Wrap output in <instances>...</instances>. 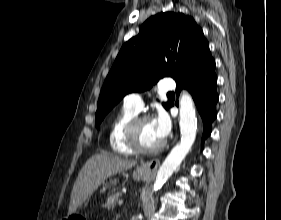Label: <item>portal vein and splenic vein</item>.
Segmentation results:
<instances>
[{
	"label": "portal vein and splenic vein",
	"mask_w": 281,
	"mask_h": 220,
	"mask_svg": "<svg viewBox=\"0 0 281 220\" xmlns=\"http://www.w3.org/2000/svg\"><path fill=\"white\" fill-rule=\"evenodd\" d=\"M123 202H124L123 199H120V200L118 201V205H119V206H122V205H123Z\"/></svg>",
	"instance_id": "portal-vein-and-splenic-vein-1"
}]
</instances>
